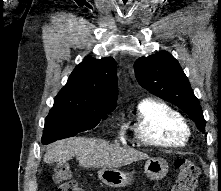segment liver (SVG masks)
Returning <instances> with one entry per match:
<instances>
[{
  "mask_svg": "<svg viewBox=\"0 0 221 191\" xmlns=\"http://www.w3.org/2000/svg\"><path fill=\"white\" fill-rule=\"evenodd\" d=\"M74 156L79 161V165L86 168H118L149 158L143 152L109 144L105 140L73 137L50 144L44 161L66 162Z\"/></svg>",
  "mask_w": 221,
  "mask_h": 191,
  "instance_id": "obj_1",
  "label": "liver"
}]
</instances>
